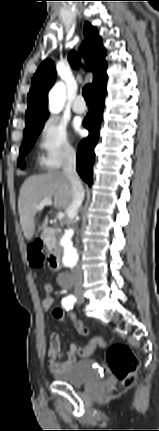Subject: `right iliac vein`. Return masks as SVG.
Wrapping results in <instances>:
<instances>
[{
    "instance_id": "obj_1",
    "label": "right iliac vein",
    "mask_w": 159,
    "mask_h": 431,
    "mask_svg": "<svg viewBox=\"0 0 159 431\" xmlns=\"http://www.w3.org/2000/svg\"><path fill=\"white\" fill-rule=\"evenodd\" d=\"M75 296H76V298L78 299L79 302H82L84 300L83 299V294L80 291H76L75 292Z\"/></svg>"
}]
</instances>
